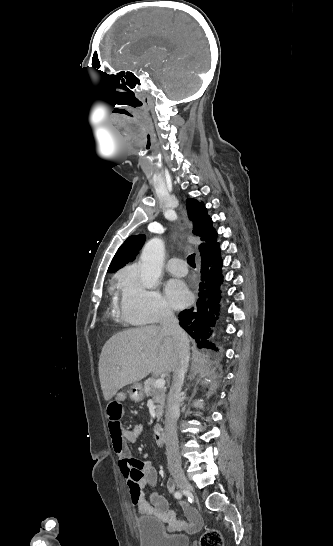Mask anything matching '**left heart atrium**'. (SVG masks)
Returning a JSON list of instances; mask_svg holds the SVG:
<instances>
[{
	"label": "left heart atrium",
	"mask_w": 333,
	"mask_h": 546,
	"mask_svg": "<svg viewBox=\"0 0 333 546\" xmlns=\"http://www.w3.org/2000/svg\"><path fill=\"white\" fill-rule=\"evenodd\" d=\"M166 295L170 304L174 308L184 307L190 300V292L184 282L180 280H170L166 285Z\"/></svg>",
	"instance_id": "left-heart-atrium-1"
}]
</instances>
